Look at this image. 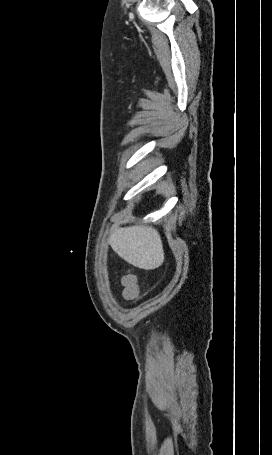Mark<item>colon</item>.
Masks as SVG:
<instances>
[{"mask_svg":"<svg viewBox=\"0 0 272 455\" xmlns=\"http://www.w3.org/2000/svg\"><path fill=\"white\" fill-rule=\"evenodd\" d=\"M123 294L127 299H134L138 295V285L136 277L132 273H127L122 278Z\"/></svg>","mask_w":272,"mask_h":455,"instance_id":"1","label":"colon"}]
</instances>
